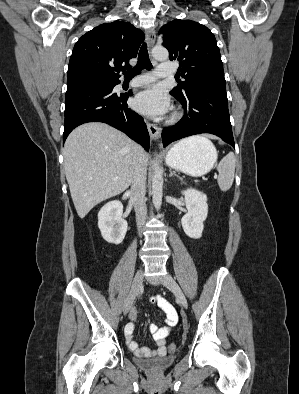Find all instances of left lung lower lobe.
<instances>
[{"label": "left lung lower lobe", "instance_id": "obj_1", "mask_svg": "<svg viewBox=\"0 0 299 394\" xmlns=\"http://www.w3.org/2000/svg\"><path fill=\"white\" fill-rule=\"evenodd\" d=\"M178 101L184 108V116L176 125L163 129L164 146L183 137L211 133L235 148L225 83H198Z\"/></svg>", "mask_w": 299, "mask_h": 394}]
</instances>
